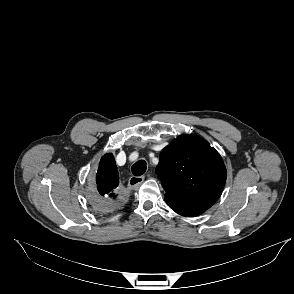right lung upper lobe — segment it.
<instances>
[{
    "label": "right lung upper lobe",
    "instance_id": "right-lung-upper-lobe-1",
    "mask_svg": "<svg viewBox=\"0 0 294 294\" xmlns=\"http://www.w3.org/2000/svg\"><path fill=\"white\" fill-rule=\"evenodd\" d=\"M96 184L99 194L106 199L112 201L117 197L119 174L112 154H105L101 158L96 175Z\"/></svg>",
    "mask_w": 294,
    "mask_h": 294
}]
</instances>
